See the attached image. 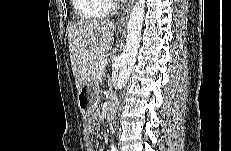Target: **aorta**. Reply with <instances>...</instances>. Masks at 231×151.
Returning a JSON list of instances; mask_svg holds the SVG:
<instances>
[{
	"mask_svg": "<svg viewBox=\"0 0 231 151\" xmlns=\"http://www.w3.org/2000/svg\"><path fill=\"white\" fill-rule=\"evenodd\" d=\"M145 0H137L132 8L127 27V40L119 64L118 89L127 83L140 46L141 30L145 13Z\"/></svg>",
	"mask_w": 231,
	"mask_h": 151,
	"instance_id": "1",
	"label": "aorta"
}]
</instances>
